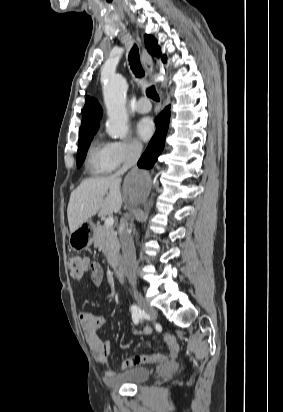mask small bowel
I'll list each match as a JSON object with an SVG mask.
<instances>
[{
  "label": "small bowel",
  "instance_id": "1",
  "mask_svg": "<svg viewBox=\"0 0 283 412\" xmlns=\"http://www.w3.org/2000/svg\"><path fill=\"white\" fill-rule=\"evenodd\" d=\"M89 273L92 285L95 287L100 286L103 280L102 267L98 263H95L94 270H91ZM78 319L94 359L104 369L106 376H108L111 373L110 367L107 363V355L110 350V343L101 339L99 335V330L107 323V318L103 315H97L84 310H80L78 311ZM151 331V327L146 326L143 329L142 333L150 334ZM163 337L167 344V350L165 352L147 353L125 359L121 362V368L125 370L136 365L154 363L176 358L179 352V346L177 342L170 334L165 333Z\"/></svg>",
  "mask_w": 283,
  "mask_h": 412
}]
</instances>
